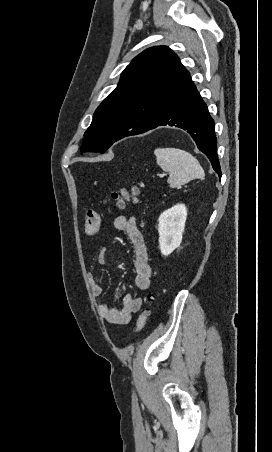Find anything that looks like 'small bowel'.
<instances>
[{
  "instance_id": "small-bowel-1",
  "label": "small bowel",
  "mask_w": 272,
  "mask_h": 452,
  "mask_svg": "<svg viewBox=\"0 0 272 452\" xmlns=\"http://www.w3.org/2000/svg\"><path fill=\"white\" fill-rule=\"evenodd\" d=\"M114 226L119 231L127 233L131 240L134 252V282L140 290L148 289L150 286L151 267L144 237L137 226L136 219L133 216L118 215L114 219ZM106 245L98 244L91 255L95 257L101 265H105ZM89 283L96 298L104 295V288L101 286L93 273L89 274ZM142 299L137 296L127 294L123 297L121 307H116L108 302H101L98 310L102 319L108 323L116 325H126L130 322L134 313L138 312L142 306Z\"/></svg>"
}]
</instances>
